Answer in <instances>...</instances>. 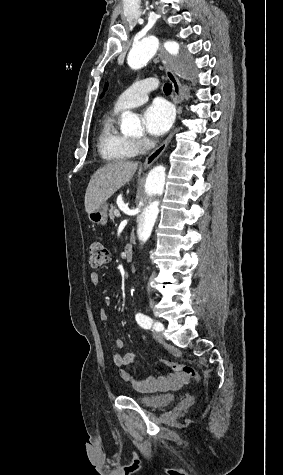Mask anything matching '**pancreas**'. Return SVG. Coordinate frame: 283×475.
<instances>
[{
    "label": "pancreas",
    "mask_w": 283,
    "mask_h": 475,
    "mask_svg": "<svg viewBox=\"0 0 283 475\" xmlns=\"http://www.w3.org/2000/svg\"><path fill=\"white\" fill-rule=\"evenodd\" d=\"M114 212H115V206H111V210H110V214H109L111 220H113V218L115 216Z\"/></svg>",
    "instance_id": "1"
}]
</instances>
